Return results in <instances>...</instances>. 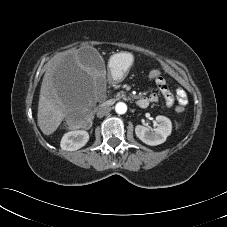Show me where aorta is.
Here are the masks:
<instances>
[{
    "label": "aorta",
    "mask_w": 227,
    "mask_h": 227,
    "mask_svg": "<svg viewBox=\"0 0 227 227\" xmlns=\"http://www.w3.org/2000/svg\"><path fill=\"white\" fill-rule=\"evenodd\" d=\"M115 111L118 114H124L127 111V105L124 102H118L115 106Z\"/></svg>",
    "instance_id": "aorta-1"
}]
</instances>
